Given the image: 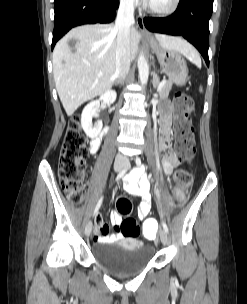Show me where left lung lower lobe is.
I'll return each mask as SVG.
<instances>
[{
    "label": "left lung lower lobe",
    "mask_w": 247,
    "mask_h": 304,
    "mask_svg": "<svg viewBox=\"0 0 247 304\" xmlns=\"http://www.w3.org/2000/svg\"><path fill=\"white\" fill-rule=\"evenodd\" d=\"M213 0H180L177 10L165 18H145L144 24L152 32L183 36L192 43L209 66V19Z\"/></svg>",
    "instance_id": "obj_1"
}]
</instances>
